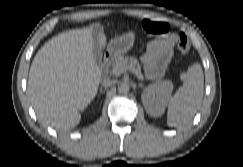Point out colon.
<instances>
[{"instance_id":"1","label":"colon","mask_w":243,"mask_h":167,"mask_svg":"<svg viewBox=\"0 0 243 167\" xmlns=\"http://www.w3.org/2000/svg\"><path fill=\"white\" fill-rule=\"evenodd\" d=\"M142 29L148 35H160L168 30V24L162 20L145 19L142 22ZM178 48L183 55L189 53L190 47L188 38L183 32L178 36Z\"/></svg>"}]
</instances>
